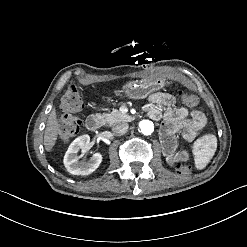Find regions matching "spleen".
I'll return each mask as SVG.
<instances>
[{"mask_svg": "<svg viewBox=\"0 0 247 247\" xmlns=\"http://www.w3.org/2000/svg\"><path fill=\"white\" fill-rule=\"evenodd\" d=\"M202 139L204 140L203 144L200 147L195 145L193 149L196 170H202L206 167L211 158L212 148L215 151L217 146V137L214 134L205 135Z\"/></svg>", "mask_w": 247, "mask_h": 247, "instance_id": "1", "label": "spleen"}]
</instances>
